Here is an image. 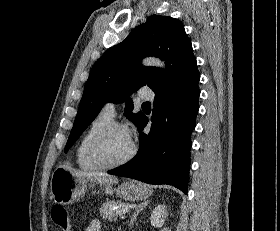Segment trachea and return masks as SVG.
<instances>
[{
  "mask_svg": "<svg viewBox=\"0 0 280 231\" xmlns=\"http://www.w3.org/2000/svg\"><path fill=\"white\" fill-rule=\"evenodd\" d=\"M142 109H143V110H150V109H151V104H150V102L142 103Z\"/></svg>",
  "mask_w": 280,
  "mask_h": 231,
  "instance_id": "obj_1",
  "label": "trachea"
}]
</instances>
